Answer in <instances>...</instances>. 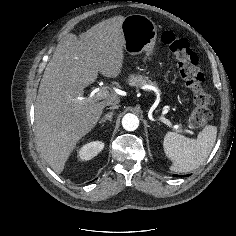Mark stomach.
Returning a JSON list of instances; mask_svg holds the SVG:
<instances>
[{
  "instance_id": "1",
  "label": "stomach",
  "mask_w": 236,
  "mask_h": 236,
  "mask_svg": "<svg viewBox=\"0 0 236 236\" xmlns=\"http://www.w3.org/2000/svg\"><path fill=\"white\" fill-rule=\"evenodd\" d=\"M122 32L126 52L138 55L146 52L147 56L154 55V46L157 38V26L147 16L132 14L123 20Z\"/></svg>"
}]
</instances>
